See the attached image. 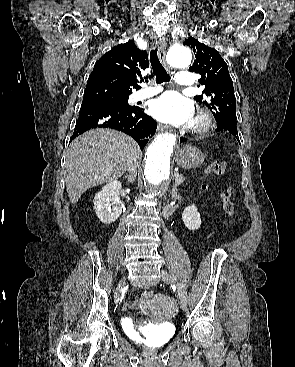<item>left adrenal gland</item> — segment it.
Returning a JSON list of instances; mask_svg holds the SVG:
<instances>
[{
    "mask_svg": "<svg viewBox=\"0 0 295 367\" xmlns=\"http://www.w3.org/2000/svg\"><path fill=\"white\" fill-rule=\"evenodd\" d=\"M176 189H177V186H176V185H174V186L172 187V191H173V192H175V191H176Z\"/></svg>",
    "mask_w": 295,
    "mask_h": 367,
    "instance_id": "left-adrenal-gland-1",
    "label": "left adrenal gland"
}]
</instances>
